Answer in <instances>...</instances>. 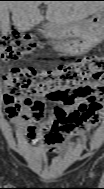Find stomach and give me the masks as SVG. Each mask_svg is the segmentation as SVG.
Listing matches in <instances>:
<instances>
[{"label":"stomach","instance_id":"1","mask_svg":"<svg viewBox=\"0 0 104 189\" xmlns=\"http://www.w3.org/2000/svg\"><path fill=\"white\" fill-rule=\"evenodd\" d=\"M102 10L93 14L90 19L76 23L71 29L50 25L43 30L46 38L56 40V46L65 53L76 54L80 52L82 43L89 42L93 36L103 29Z\"/></svg>","mask_w":104,"mask_h":189}]
</instances>
